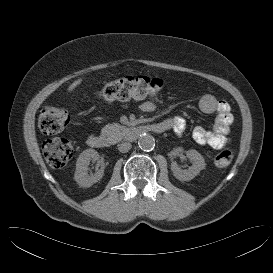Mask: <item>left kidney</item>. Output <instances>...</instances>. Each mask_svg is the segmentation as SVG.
<instances>
[{"label":"left kidney","instance_id":"obj_1","mask_svg":"<svg viewBox=\"0 0 273 273\" xmlns=\"http://www.w3.org/2000/svg\"><path fill=\"white\" fill-rule=\"evenodd\" d=\"M182 152V148H177L171 153V155H178ZM186 155L192 161V165L188 169H181L175 161L171 163L173 175L180 181L192 180L205 168L206 165L203 156L197 150L190 149L186 151Z\"/></svg>","mask_w":273,"mask_h":273}]
</instances>
